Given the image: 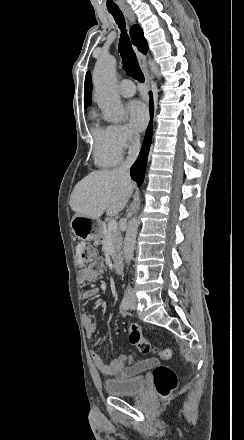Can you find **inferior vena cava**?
Returning <instances> with one entry per match:
<instances>
[{
	"label": "inferior vena cava",
	"instance_id": "inferior-vena-cava-1",
	"mask_svg": "<svg viewBox=\"0 0 244 440\" xmlns=\"http://www.w3.org/2000/svg\"><path fill=\"white\" fill-rule=\"evenodd\" d=\"M140 152V140H139V134H133L132 140H131V146H129V154L124 162L122 164L121 168H118L120 174H123V176H126L128 180H130V174L129 170L134 164L138 154ZM133 290H129V294H131Z\"/></svg>",
	"mask_w": 244,
	"mask_h": 440
}]
</instances>
